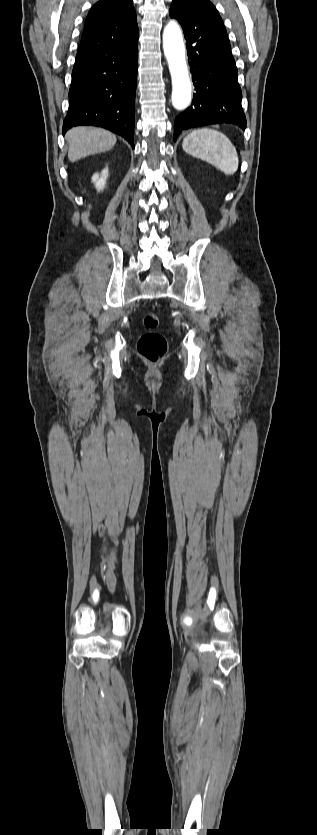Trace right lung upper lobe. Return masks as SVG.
Segmentation results:
<instances>
[{"mask_svg": "<svg viewBox=\"0 0 317 835\" xmlns=\"http://www.w3.org/2000/svg\"><path fill=\"white\" fill-rule=\"evenodd\" d=\"M137 35L132 0H100L87 15L80 45L115 46Z\"/></svg>", "mask_w": 317, "mask_h": 835, "instance_id": "obj_1", "label": "right lung upper lobe"}]
</instances>
